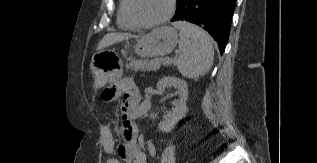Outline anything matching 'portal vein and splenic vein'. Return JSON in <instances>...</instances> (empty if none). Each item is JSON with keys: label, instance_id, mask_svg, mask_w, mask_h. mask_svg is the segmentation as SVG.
<instances>
[{"label": "portal vein and splenic vein", "instance_id": "1", "mask_svg": "<svg viewBox=\"0 0 317 163\" xmlns=\"http://www.w3.org/2000/svg\"><path fill=\"white\" fill-rule=\"evenodd\" d=\"M166 62H167V63H171V61H170V60H166Z\"/></svg>", "mask_w": 317, "mask_h": 163}]
</instances>
